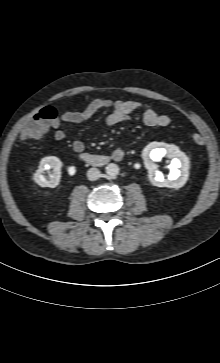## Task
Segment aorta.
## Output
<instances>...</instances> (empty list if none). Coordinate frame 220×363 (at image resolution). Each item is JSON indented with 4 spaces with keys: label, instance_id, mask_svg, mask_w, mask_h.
<instances>
[{
    "label": "aorta",
    "instance_id": "1",
    "mask_svg": "<svg viewBox=\"0 0 220 363\" xmlns=\"http://www.w3.org/2000/svg\"><path fill=\"white\" fill-rule=\"evenodd\" d=\"M106 173L110 177H115L119 174V167L118 165L111 163L106 166Z\"/></svg>",
    "mask_w": 220,
    "mask_h": 363
}]
</instances>
